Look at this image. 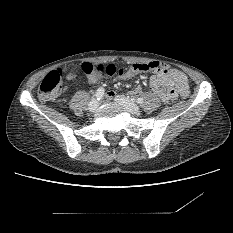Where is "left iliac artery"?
<instances>
[{
	"instance_id": "44dca946",
	"label": "left iliac artery",
	"mask_w": 233,
	"mask_h": 233,
	"mask_svg": "<svg viewBox=\"0 0 233 233\" xmlns=\"http://www.w3.org/2000/svg\"><path fill=\"white\" fill-rule=\"evenodd\" d=\"M144 102L143 98H138L137 103L142 104Z\"/></svg>"
}]
</instances>
